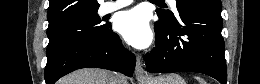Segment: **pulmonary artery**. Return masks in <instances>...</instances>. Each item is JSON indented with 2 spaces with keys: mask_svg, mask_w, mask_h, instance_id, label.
<instances>
[{
  "mask_svg": "<svg viewBox=\"0 0 260 84\" xmlns=\"http://www.w3.org/2000/svg\"><path fill=\"white\" fill-rule=\"evenodd\" d=\"M132 1H126V0H119V1H109L104 4H102L99 8L101 14H107L114 12L116 10H119L121 8H124L131 4ZM169 3L172 6L176 5V0H169Z\"/></svg>",
  "mask_w": 260,
  "mask_h": 84,
  "instance_id": "pulmonary-artery-1",
  "label": "pulmonary artery"
}]
</instances>
